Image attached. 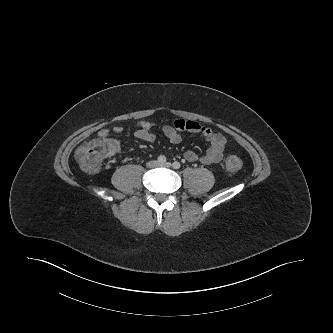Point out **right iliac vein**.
Returning <instances> with one entry per match:
<instances>
[{"label": "right iliac vein", "mask_w": 333, "mask_h": 333, "mask_svg": "<svg viewBox=\"0 0 333 333\" xmlns=\"http://www.w3.org/2000/svg\"><path fill=\"white\" fill-rule=\"evenodd\" d=\"M158 165L157 161L149 162V167H156Z\"/></svg>", "instance_id": "63e3f726"}]
</instances>
